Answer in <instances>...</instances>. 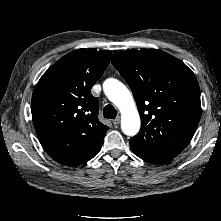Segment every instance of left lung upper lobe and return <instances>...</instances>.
Segmentation results:
<instances>
[{
    "mask_svg": "<svg viewBox=\"0 0 221 221\" xmlns=\"http://www.w3.org/2000/svg\"><path fill=\"white\" fill-rule=\"evenodd\" d=\"M111 62L130 86L141 117L130 146L176 156L191 141L201 116L200 88L179 59L155 49L128 50Z\"/></svg>",
    "mask_w": 221,
    "mask_h": 221,
    "instance_id": "left-lung-upper-lobe-1",
    "label": "left lung upper lobe"
}]
</instances>
